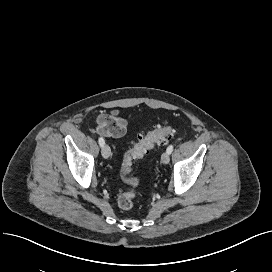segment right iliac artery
Here are the masks:
<instances>
[{"mask_svg":"<svg viewBox=\"0 0 272 272\" xmlns=\"http://www.w3.org/2000/svg\"><path fill=\"white\" fill-rule=\"evenodd\" d=\"M98 141H99V145H100L101 147H103V145L105 144L104 139H103L102 137H99Z\"/></svg>","mask_w":272,"mask_h":272,"instance_id":"obj_1","label":"right iliac artery"}]
</instances>
